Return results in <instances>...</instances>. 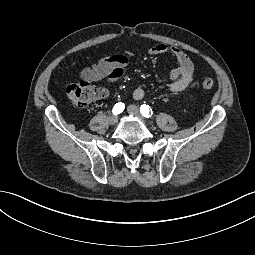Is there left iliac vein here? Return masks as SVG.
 I'll use <instances>...</instances> for the list:
<instances>
[{
  "mask_svg": "<svg viewBox=\"0 0 255 255\" xmlns=\"http://www.w3.org/2000/svg\"><path fill=\"white\" fill-rule=\"evenodd\" d=\"M127 111L129 114H132V115L136 116L137 118H139L142 122H145L144 119L141 117L139 108L137 106L129 105L127 108Z\"/></svg>",
  "mask_w": 255,
  "mask_h": 255,
  "instance_id": "1",
  "label": "left iliac vein"
}]
</instances>
